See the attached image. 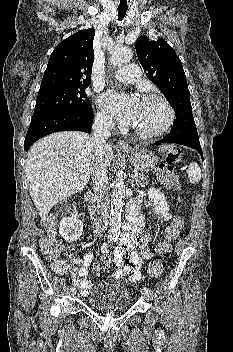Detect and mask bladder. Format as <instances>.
<instances>
[{"label": "bladder", "instance_id": "obj_1", "mask_svg": "<svg viewBox=\"0 0 233 352\" xmlns=\"http://www.w3.org/2000/svg\"><path fill=\"white\" fill-rule=\"evenodd\" d=\"M87 304L98 311H123L131 305V294L119 283L101 282L90 290Z\"/></svg>", "mask_w": 233, "mask_h": 352}]
</instances>
